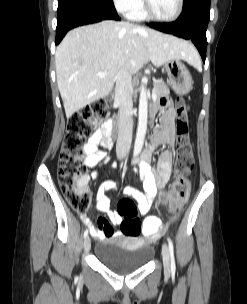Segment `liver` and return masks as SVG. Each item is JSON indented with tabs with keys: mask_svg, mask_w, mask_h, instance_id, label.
I'll use <instances>...</instances> for the list:
<instances>
[{
	"mask_svg": "<svg viewBox=\"0 0 247 304\" xmlns=\"http://www.w3.org/2000/svg\"><path fill=\"white\" fill-rule=\"evenodd\" d=\"M173 59L198 60L187 41L124 21H102L73 29L55 54L57 85L66 117L113 89L122 67L137 73L149 61L160 67ZM106 72L105 77L98 73Z\"/></svg>",
	"mask_w": 247,
	"mask_h": 304,
	"instance_id": "liver-1",
	"label": "liver"
}]
</instances>
